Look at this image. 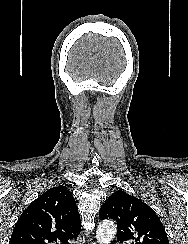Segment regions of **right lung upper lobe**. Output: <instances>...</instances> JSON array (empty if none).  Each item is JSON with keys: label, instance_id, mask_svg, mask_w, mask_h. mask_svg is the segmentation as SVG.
Wrapping results in <instances>:
<instances>
[{"label": "right lung upper lobe", "instance_id": "1", "mask_svg": "<svg viewBox=\"0 0 188 244\" xmlns=\"http://www.w3.org/2000/svg\"><path fill=\"white\" fill-rule=\"evenodd\" d=\"M81 229L76 202L67 187H53L21 214L9 244H68Z\"/></svg>", "mask_w": 188, "mask_h": 244}]
</instances>
